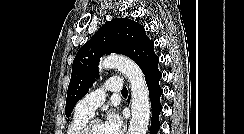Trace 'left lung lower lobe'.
<instances>
[{"label":"left lung lower lobe","instance_id":"1","mask_svg":"<svg viewBox=\"0 0 244 134\" xmlns=\"http://www.w3.org/2000/svg\"><path fill=\"white\" fill-rule=\"evenodd\" d=\"M160 78H161V73L155 72L152 73L146 80L149 89V96H150L151 108H152L150 134H157L160 128L159 114L162 110V106L160 103V96L162 94V89L159 85Z\"/></svg>","mask_w":244,"mask_h":134}]
</instances>
